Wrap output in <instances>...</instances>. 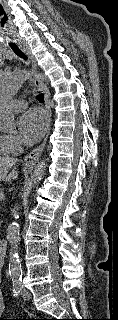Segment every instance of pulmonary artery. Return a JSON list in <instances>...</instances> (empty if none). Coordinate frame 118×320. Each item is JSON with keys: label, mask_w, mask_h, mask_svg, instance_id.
<instances>
[{"label": "pulmonary artery", "mask_w": 118, "mask_h": 320, "mask_svg": "<svg viewBox=\"0 0 118 320\" xmlns=\"http://www.w3.org/2000/svg\"><path fill=\"white\" fill-rule=\"evenodd\" d=\"M10 105L15 111H21L26 107L27 103L24 100L15 99L10 102Z\"/></svg>", "instance_id": "1"}]
</instances>
